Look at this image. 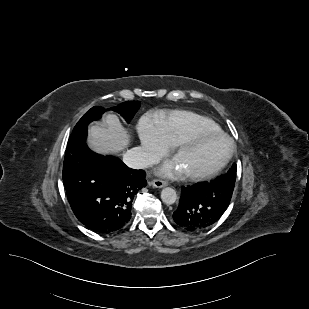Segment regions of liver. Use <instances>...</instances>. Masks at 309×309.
I'll return each mask as SVG.
<instances>
[{"instance_id":"1","label":"liver","mask_w":309,"mask_h":309,"mask_svg":"<svg viewBox=\"0 0 309 309\" xmlns=\"http://www.w3.org/2000/svg\"><path fill=\"white\" fill-rule=\"evenodd\" d=\"M130 141L129 132L114 114L105 116L104 125H91L89 127L88 144L97 153L118 154L129 146Z\"/></svg>"}]
</instances>
